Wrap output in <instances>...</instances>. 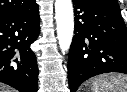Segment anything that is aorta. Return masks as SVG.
Segmentation results:
<instances>
[{
	"label": "aorta",
	"instance_id": "1",
	"mask_svg": "<svg viewBox=\"0 0 127 92\" xmlns=\"http://www.w3.org/2000/svg\"><path fill=\"white\" fill-rule=\"evenodd\" d=\"M55 18L59 47L64 53L69 50L74 33V13L71 0H55Z\"/></svg>",
	"mask_w": 127,
	"mask_h": 92
}]
</instances>
